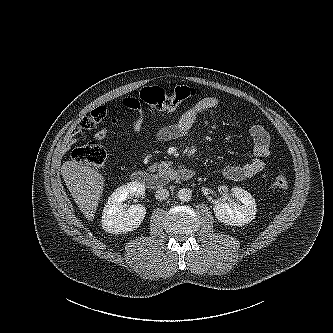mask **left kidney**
Wrapping results in <instances>:
<instances>
[{"label":"left kidney","mask_w":333,"mask_h":333,"mask_svg":"<svg viewBox=\"0 0 333 333\" xmlns=\"http://www.w3.org/2000/svg\"><path fill=\"white\" fill-rule=\"evenodd\" d=\"M233 196L240 202L229 205L227 202L217 201L213 207L216 218L231 226H243L255 219L256 203L252 195L239 187L232 188Z\"/></svg>","instance_id":"left-kidney-1"}]
</instances>
